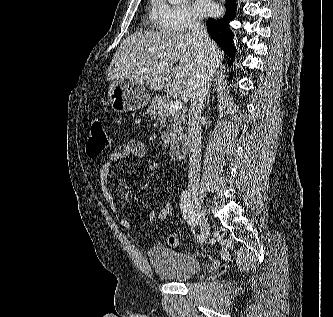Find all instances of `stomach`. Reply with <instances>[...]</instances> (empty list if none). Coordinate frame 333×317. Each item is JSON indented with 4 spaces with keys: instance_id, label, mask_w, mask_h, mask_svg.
I'll list each match as a JSON object with an SVG mask.
<instances>
[{
    "instance_id": "0dacf381",
    "label": "stomach",
    "mask_w": 333,
    "mask_h": 317,
    "mask_svg": "<svg viewBox=\"0 0 333 317\" xmlns=\"http://www.w3.org/2000/svg\"><path fill=\"white\" fill-rule=\"evenodd\" d=\"M108 99L117 112L144 108L150 102L146 87L131 78L117 79L109 86Z\"/></svg>"
}]
</instances>
